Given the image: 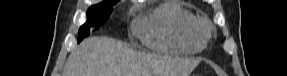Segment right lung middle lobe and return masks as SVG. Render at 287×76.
Returning a JSON list of instances; mask_svg holds the SVG:
<instances>
[{"label":"right lung middle lobe","instance_id":"right-lung-middle-lobe-1","mask_svg":"<svg viewBox=\"0 0 287 76\" xmlns=\"http://www.w3.org/2000/svg\"><path fill=\"white\" fill-rule=\"evenodd\" d=\"M116 2H104L97 5L91 6L87 11V21L83 24L78 32V42L83 40V38L90 35L91 28H98L106 20H108L109 15L112 12V6Z\"/></svg>","mask_w":287,"mask_h":76}]
</instances>
